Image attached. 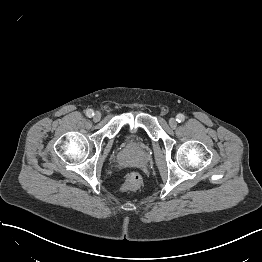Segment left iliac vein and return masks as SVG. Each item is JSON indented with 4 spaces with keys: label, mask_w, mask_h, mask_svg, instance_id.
I'll return each mask as SVG.
<instances>
[{
    "label": "left iliac vein",
    "mask_w": 262,
    "mask_h": 262,
    "mask_svg": "<svg viewBox=\"0 0 262 262\" xmlns=\"http://www.w3.org/2000/svg\"><path fill=\"white\" fill-rule=\"evenodd\" d=\"M169 125H170V127L171 128H176L177 127V121H176V119H174V118H171L170 120H169Z\"/></svg>",
    "instance_id": "1"
}]
</instances>
